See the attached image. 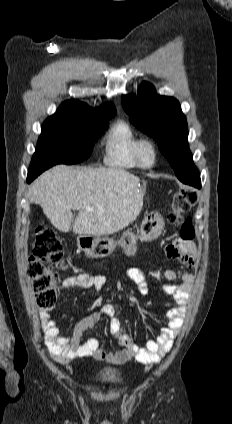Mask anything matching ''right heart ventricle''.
<instances>
[{"instance_id": "1", "label": "right heart ventricle", "mask_w": 232, "mask_h": 424, "mask_svg": "<svg viewBox=\"0 0 232 424\" xmlns=\"http://www.w3.org/2000/svg\"><path fill=\"white\" fill-rule=\"evenodd\" d=\"M141 137L126 121L115 123L104 137V163L116 169L140 167L135 148Z\"/></svg>"}]
</instances>
